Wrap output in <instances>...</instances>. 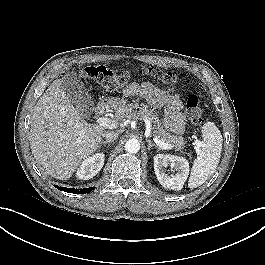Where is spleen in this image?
Returning <instances> with one entry per match:
<instances>
[{"label": "spleen", "mask_w": 265, "mask_h": 265, "mask_svg": "<svg viewBox=\"0 0 265 265\" xmlns=\"http://www.w3.org/2000/svg\"><path fill=\"white\" fill-rule=\"evenodd\" d=\"M202 135L203 145L193 162L188 181V186L192 189L202 185L215 172L222 151V135L214 123H205Z\"/></svg>", "instance_id": "obj_1"}]
</instances>
